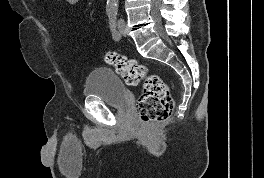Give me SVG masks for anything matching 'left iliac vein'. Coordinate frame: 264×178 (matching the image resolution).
I'll return each instance as SVG.
<instances>
[{"mask_svg":"<svg viewBox=\"0 0 264 178\" xmlns=\"http://www.w3.org/2000/svg\"><path fill=\"white\" fill-rule=\"evenodd\" d=\"M117 27L119 31L120 36H125L126 35V29H125V23L123 19H119L117 21Z\"/></svg>","mask_w":264,"mask_h":178,"instance_id":"left-iliac-vein-1","label":"left iliac vein"}]
</instances>
